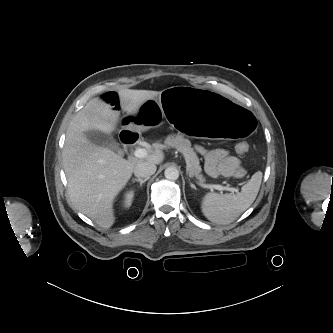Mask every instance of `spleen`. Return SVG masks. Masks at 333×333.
Returning a JSON list of instances; mask_svg holds the SVG:
<instances>
[{"instance_id": "spleen-1", "label": "spleen", "mask_w": 333, "mask_h": 333, "mask_svg": "<svg viewBox=\"0 0 333 333\" xmlns=\"http://www.w3.org/2000/svg\"><path fill=\"white\" fill-rule=\"evenodd\" d=\"M262 181V172L254 173L242 186L241 192L232 194L207 193L201 201V211L211 222L229 224L247 210L255 201Z\"/></svg>"}]
</instances>
